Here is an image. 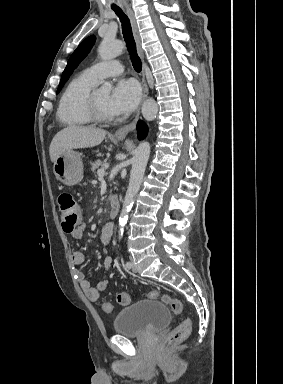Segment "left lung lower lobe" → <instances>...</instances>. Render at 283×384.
<instances>
[{
  "label": "left lung lower lobe",
  "mask_w": 283,
  "mask_h": 384,
  "mask_svg": "<svg viewBox=\"0 0 283 384\" xmlns=\"http://www.w3.org/2000/svg\"><path fill=\"white\" fill-rule=\"evenodd\" d=\"M147 126L145 125V123H143L142 121H139L138 124H137V133H138V138L139 139H143L145 138V136L147 135Z\"/></svg>",
  "instance_id": "1"
}]
</instances>
